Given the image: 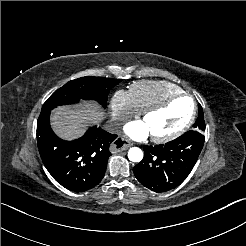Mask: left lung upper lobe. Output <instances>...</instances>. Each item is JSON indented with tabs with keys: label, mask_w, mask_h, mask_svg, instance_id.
Returning <instances> with one entry per match:
<instances>
[{
	"label": "left lung upper lobe",
	"mask_w": 246,
	"mask_h": 246,
	"mask_svg": "<svg viewBox=\"0 0 246 246\" xmlns=\"http://www.w3.org/2000/svg\"><path fill=\"white\" fill-rule=\"evenodd\" d=\"M198 118L193 125V130L203 133L205 131V121L201 105H198Z\"/></svg>",
	"instance_id": "1"
}]
</instances>
